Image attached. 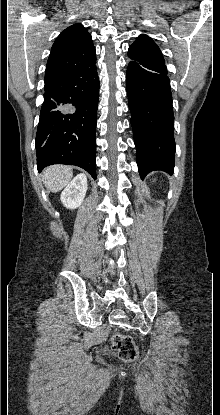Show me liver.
<instances>
[{
  "label": "liver",
  "instance_id": "6515ba94",
  "mask_svg": "<svg viewBox=\"0 0 220 415\" xmlns=\"http://www.w3.org/2000/svg\"><path fill=\"white\" fill-rule=\"evenodd\" d=\"M72 168L64 165H53L47 167L42 175L43 182L51 192L62 190L72 179Z\"/></svg>",
  "mask_w": 220,
  "mask_h": 415
}]
</instances>
